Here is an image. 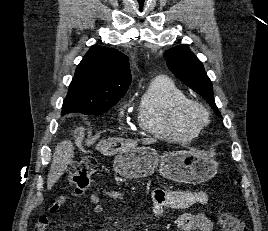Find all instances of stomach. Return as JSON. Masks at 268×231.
Here are the masks:
<instances>
[{
  "mask_svg": "<svg viewBox=\"0 0 268 231\" xmlns=\"http://www.w3.org/2000/svg\"><path fill=\"white\" fill-rule=\"evenodd\" d=\"M159 167L160 174L179 183L199 184L213 178L218 163L192 150L170 151L159 156L149 146L121 150L114 160V168L127 179L144 178Z\"/></svg>",
  "mask_w": 268,
  "mask_h": 231,
  "instance_id": "1",
  "label": "stomach"
}]
</instances>
